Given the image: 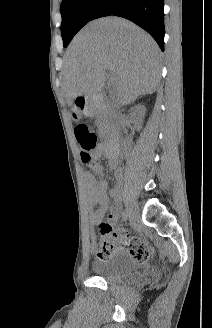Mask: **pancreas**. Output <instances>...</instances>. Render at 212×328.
<instances>
[{"label": "pancreas", "mask_w": 212, "mask_h": 328, "mask_svg": "<svg viewBox=\"0 0 212 328\" xmlns=\"http://www.w3.org/2000/svg\"><path fill=\"white\" fill-rule=\"evenodd\" d=\"M95 124L98 127L100 132H104L107 129V126H108L107 116L103 113H99L96 117Z\"/></svg>", "instance_id": "1"}]
</instances>
